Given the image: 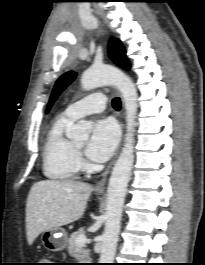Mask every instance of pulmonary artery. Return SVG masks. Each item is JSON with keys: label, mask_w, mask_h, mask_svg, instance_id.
<instances>
[{"label": "pulmonary artery", "mask_w": 205, "mask_h": 265, "mask_svg": "<svg viewBox=\"0 0 205 265\" xmlns=\"http://www.w3.org/2000/svg\"><path fill=\"white\" fill-rule=\"evenodd\" d=\"M106 103L104 94L94 93L69 105L63 115L74 121L83 116L104 111Z\"/></svg>", "instance_id": "e3ab8cb5"}]
</instances>
